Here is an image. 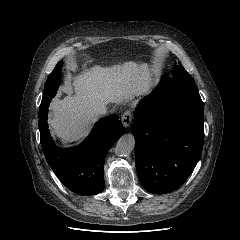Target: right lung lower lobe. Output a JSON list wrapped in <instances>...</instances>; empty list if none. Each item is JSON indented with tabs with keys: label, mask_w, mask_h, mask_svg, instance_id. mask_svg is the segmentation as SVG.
<instances>
[{
	"label": "right lung lower lobe",
	"mask_w": 240,
	"mask_h": 240,
	"mask_svg": "<svg viewBox=\"0 0 240 240\" xmlns=\"http://www.w3.org/2000/svg\"><path fill=\"white\" fill-rule=\"evenodd\" d=\"M48 108L39 113L40 141L45 158L69 190L79 195H95L104 190V160L109 148L121 137L123 125L116 114L97 123L78 147L55 145L47 124Z\"/></svg>",
	"instance_id": "1"
}]
</instances>
